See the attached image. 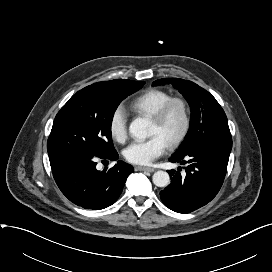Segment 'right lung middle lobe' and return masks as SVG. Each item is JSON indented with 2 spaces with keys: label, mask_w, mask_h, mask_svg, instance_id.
Instances as JSON below:
<instances>
[{
  "label": "right lung middle lobe",
  "mask_w": 272,
  "mask_h": 272,
  "mask_svg": "<svg viewBox=\"0 0 272 272\" xmlns=\"http://www.w3.org/2000/svg\"><path fill=\"white\" fill-rule=\"evenodd\" d=\"M144 82L121 80L109 90L85 87L74 94L55 117L47 141L49 160L67 154L109 155L116 151L111 135L115 110Z\"/></svg>",
  "instance_id": "right-lung-middle-lobe-1"
}]
</instances>
